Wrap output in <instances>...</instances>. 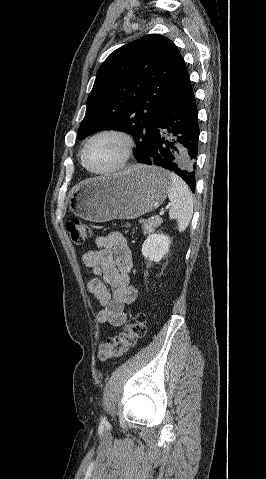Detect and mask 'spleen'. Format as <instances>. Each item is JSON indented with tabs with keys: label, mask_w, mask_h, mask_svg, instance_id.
Here are the masks:
<instances>
[{
	"label": "spleen",
	"mask_w": 266,
	"mask_h": 479,
	"mask_svg": "<svg viewBox=\"0 0 266 479\" xmlns=\"http://www.w3.org/2000/svg\"><path fill=\"white\" fill-rule=\"evenodd\" d=\"M171 186L168 191L170 200L169 218L176 220L178 231L183 232L193 215V198L187 184L176 174L170 173Z\"/></svg>",
	"instance_id": "3e777b00"
}]
</instances>
